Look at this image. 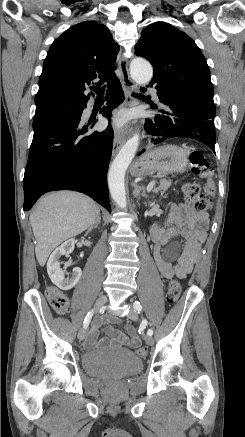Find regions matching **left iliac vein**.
<instances>
[{
    "label": "left iliac vein",
    "mask_w": 245,
    "mask_h": 437,
    "mask_svg": "<svg viewBox=\"0 0 245 437\" xmlns=\"http://www.w3.org/2000/svg\"><path fill=\"white\" fill-rule=\"evenodd\" d=\"M128 317L129 319L136 321L138 318L137 312L134 308H130L129 309V313H128ZM144 340L148 345H152L153 344V338L150 335H144Z\"/></svg>",
    "instance_id": "1"
}]
</instances>
